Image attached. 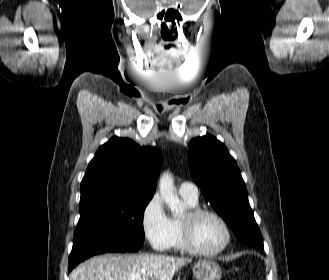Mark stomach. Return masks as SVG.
I'll return each mask as SVG.
<instances>
[{
	"label": "stomach",
	"instance_id": "1",
	"mask_svg": "<svg viewBox=\"0 0 329 280\" xmlns=\"http://www.w3.org/2000/svg\"><path fill=\"white\" fill-rule=\"evenodd\" d=\"M193 275L198 280H220L222 271L217 263L201 260L194 264Z\"/></svg>",
	"mask_w": 329,
	"mask_h": 280
}]
</instances>
